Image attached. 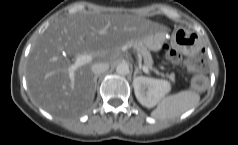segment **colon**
<instances>
[{
    "label": "colon",
    "instance_id": "5ec220e1",
    "mask_svg": "<svg viewBox=\"0 0 238 145\" xmlns=\"http://www.w3.org/2000/svg\"><path fill=\"white\" fill-rule=\"evenodd\" d=\"M169 60L176 64L183 66L188 72L195 73L193 78L192 87L195 90H203L206 87L207 80L201 74L206 69V58L203 53L195 54L186 60H183L182 56L175 51L168 52Z\"/></svg>",
    "mask_w": 238,
    "mask_h": 145
}]
</instances>
